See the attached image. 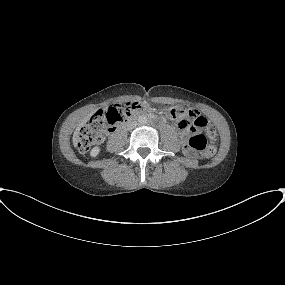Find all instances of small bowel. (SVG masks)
<instances>
[{
	"mask_svg": "<svg viewBox=\"0 0 285 285\" xmlns=\"http://www.w3.org/2000/svg\"><path fill=\"white\" fill-rule=\"evenodd\" d=\"M199 116H200V114H199V112H198L197 110L191 109V110H189L186 114H184V115L181 116V120H182V121L187 120V119L193 120V119H195V118H197V117H199ZM182 121H181V122H182ZM184 153H185L186 155H190L189 153H187V152H185V151H184Z\"/></svg>",
	"mask_w": 285,
	"mask_h": 285,
	"instance_id": "obj_1",
	"label": "small bowel"
}]
</instances>
